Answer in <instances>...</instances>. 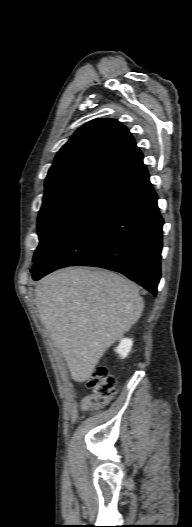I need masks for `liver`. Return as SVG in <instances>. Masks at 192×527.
Instances as JSON below:
<instances>
[{
    "label": "liver",
    "instance_id": "1",
    "mask_svg": "<svg viewBox=\"0 0 192 527\" xmlns=\"http://www.w3.org/2000/svg\"><path fill=\"white\" fill-rule=\"evenodd\" d=\"M40 320L76 382L86 381L106 350L140 318L137 286L113 272L66 268L35 287Z\"/></svg>",
    "mask_w": 192,
    "mask_h": 527
}]
</instances>
